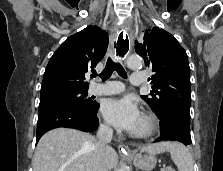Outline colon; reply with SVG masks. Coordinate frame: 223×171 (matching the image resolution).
Instances as JSON below:
<instances>
[{
	"instance_id": "obj_1",
	"label": "colon",
	"mask_w": 223,
	"mask_h": 171,
	"mask_svg": "<svg viewBox=\"0 0 223 171\" xmlns=\"http://www.w3.org/2000/svg\"><path fill=\"white\" fill-rule=\"evenodd\" d=\"M163 171H174V169L170 168V167H166L163 169Z\"/></svg>"
}]
</instances>
